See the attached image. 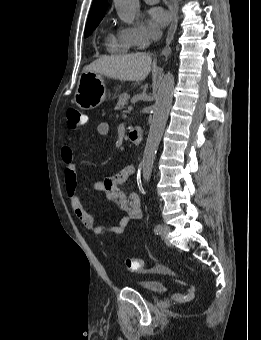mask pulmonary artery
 I'll return each mask as SVG.
<instances>
[{
    "instance_id": "obj_1",
    "label": "pulmonary artery",
    "mask_w": 261,
    "mask_h": 340,
    "mask_svg": "<svg viewBox=\"0 0 261 340\" xmlns=\"http://www.w3.org/2000/svg\"><path fill=\"white\" fill-rule=\"evenodd\" d=\"M144 1L148 4H154L158 2V0H144Z\"/></svg>"
}]
</instances>
